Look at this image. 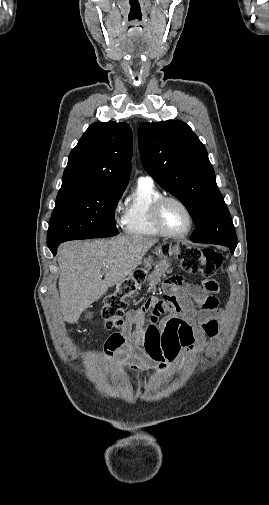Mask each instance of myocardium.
Wrapping results in <instances>:
<instances>
[{
    "instance_id": "f54148a6",
    "label": "myocardium",
    "mask_w": 269,
    "mask_h": 505,
    "mask_svg": "<svg viewBox=\"0 0 269 505\" xmlns=\"http://www.w3.org/2000/svg\"><path fill=\"white\" fill-rule=\"evenodd\" d=\"M168 201L178 203L187 213L189 224H188L187 229L182 233L170 232L169 230L166 229V227L164 226V224L162 222L161 210H162L163 205ZM151 217H152V221H153L155 227L159 230V232L163 236L170 237V238H183V237L187 236L192 231V229L194 227V216H193V213H192L190 207L182 199H180L179 197H176V196H172V195H162V196L158 197L152 203Z\"/></svg>"
}]
</instances>
